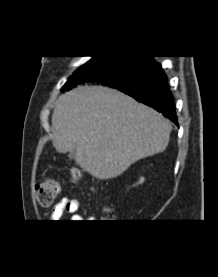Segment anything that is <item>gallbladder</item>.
Wrapping results in <instances>:
<instances>
[{"mask_svg":"<svg viewBox=\"0 0 218 277\" xmlns=\"http://www.w3.org/2000/svg\"><path fill=\"white\" fill-rule=\"evenodd\" d=\"M75 155H76V151H75V150H72V151L69 152L68 157H69L70 159H73V158H75Z\"/></svg>","mask_w":218,"mask_h":277,"instance_id":"obj_1","label":"gallbladder"}]
</instances>
